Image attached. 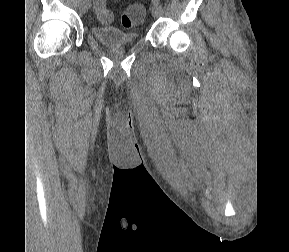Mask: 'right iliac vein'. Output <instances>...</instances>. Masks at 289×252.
I'll use <instances>...</instances> for the list:
<instances>
[{
	"mask_svg": "<svg viewBox=\"0 0 289 252\" xmlns=\"http://www.w3.org/2000/svg\"><path fill=\"white\" fill-rule=\"evenodd\" d=\"M90 6H91L90 0H79L78 8L82 13H86L90 8Z\"/></svg>",
	"mask_w": 289,
	"mask_h": 252,
	"instance_id": "1",
	"label": "right iliac vein"
}]
</instances>
